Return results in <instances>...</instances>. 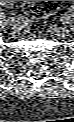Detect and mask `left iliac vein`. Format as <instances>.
Returning <instances> with one entry per match:
<instances>
[{"instance_id": "4c4485c4", "label": "left iliac vein", "mask_w": 74, "mask_h": 122, "mask_svg": "<svg viewBox=\"0 0 74 122\" xmlns=\"http://www.w3.org/2000/svg\"><path fill=\"white\" fill-rule=\"evenodd\" d=\"M69 19H70L69 15H64L61 21L63 23H67ZM67 33H68V28L66 26L60 28V36H65Z\"/></svg>"}]
</instances>
